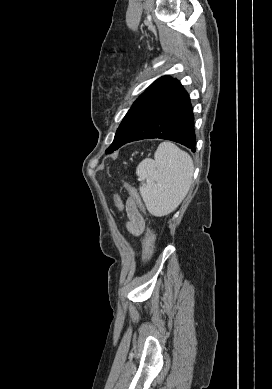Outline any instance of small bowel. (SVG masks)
I'll return each mask as SVG.
<instances>
[{
  "mask_svg": "<svg viewBox=\"0 0 272 389\" xmlns=\"http://www.w3.org/2000/svg\"><path fill=\"white\" fill-rule=\"evenodd\" d=\"M125 211L128 218V231L134 236H140L145 229V221L138 208V204L132 198L126 201Z\"/></svg>",
  "mask_w": 272,
  "mask_h": 389,
  "instance_id": "c3829d8e",
  "label": "small bowel"
}]
</instances>
